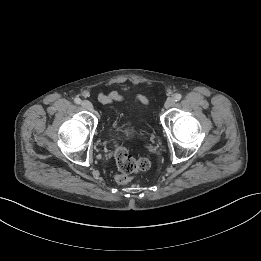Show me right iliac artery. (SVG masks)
Returning <instances> with one entry per match:
<instances>
[{"mask_svg":"<svg viewBox=\"0 0 261 261\" xmlns=\"http://www.w3.org/2000/svg\"><path fill=\"white\" fill-rule=\"evenodd\" d=\"M74 102H75L76 104H80V103H81V99L77 97V98L74 99Z\"/></svg>","mask_w":261,"mask_h":261,"instance_id":"obj_1","label":"right iliac artery"}]
</instances>
